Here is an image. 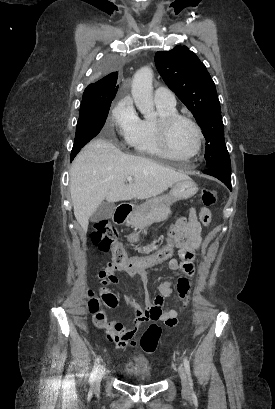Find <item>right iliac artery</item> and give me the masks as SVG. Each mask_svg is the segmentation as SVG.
Listing matches in <instances>:
<instances>
[{
    "label": "right iliac artery",
    "mask_w": 275,
    "mask_h": 409,
    "mask_svg": "<svg viewBox=\"0 0 275 409\" xmlns=\"http://www.w3.org/2000/svg\"><path fill=\"white\" fill-rule=\"evenodd\" d=\"M99 365H100V357H97V358L95 359L94 367H93L92 373H91L90 378H89V382H90L91 384H92V383L94 382V380H95V377H96V374H97Z\"/></svg>",
    "instance_id": "right-iliac-artery-1"
}]
</instances>
